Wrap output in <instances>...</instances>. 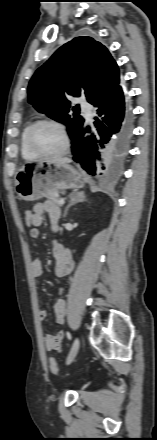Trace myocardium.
<instances>
[{"instance_id":"myocardium-1","label":"myocardium","mask_w":157,"mask_h":440,"mask_svg":"<svg viewBox=\"0 0 157 440\" xmlns=\"http://www.w3.org/2000/svg\"><path fill=\"white\" fill-rule=\"evenodd\" d=\"M41 125H52L55 126L56 128L59 129V131L62 134L63 140H64V144L61 150L57 151V152H53V153H47V152H43L41 150H39L35 144H34V134L35 131L37 130L38 127H40ZM27 142H28V146L29 148L36 154H38L39 156H48V157H56V156H61L66 154L70 147H71V139L69 136V133L65 127V125L55 119H40L36 122H34L31 126V128L29 129L28 132V136H27Z\"/></svg>"}]
</instances>
